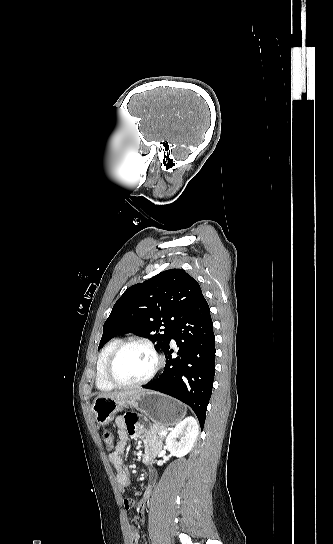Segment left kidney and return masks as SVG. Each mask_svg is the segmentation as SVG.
<instances>
[{"mask_svg":"<svg viewBox=\"0 0 333 544\" xmlns=\"http://www.w3.org/2000/svg\"><path fill=\"white\" fill-rule=\"evenodd\" d=\"M198 436V424L193 417L180 422L167 436L166 448L176 457L188 454Z\"/></svg>","mask_w":333,"mask_h":544,"instance_id":"1","label":"left kidney"}]
</instances>
